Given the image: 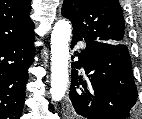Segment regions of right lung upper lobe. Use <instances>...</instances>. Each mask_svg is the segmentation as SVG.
<instances>
[{"mask_svg": "<svg viewBox=\"0 0 142 119\" xmlns=\"http://www.w3.org/2000/svg\"><path fill=\"white\" fill-rule=\"evenodd\" d=\"M30 11L31 0H0V47L26 39L34 33Z\"/></svg>", "mask_w": 142, "mask_h": 119, "instance_id": "1", "label": "right lung upper lobe"}]
</instances>
